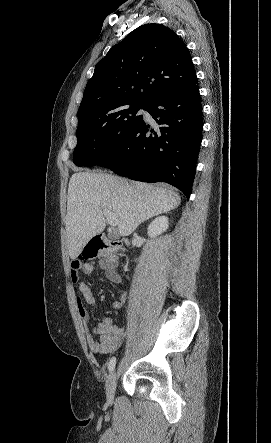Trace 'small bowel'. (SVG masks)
Instances as JSON below:
<instances>
[{
  "instance_id": "1",
  "label": "small bowel",
  "mask_w": 271,
  "mask_h": 443,
  "mask_svg": "<svg viewBox=\"0 0 271 443\" xmlns=\"http://www.w3.org/2000/svg\"><path fill=\"white\" fill-rule=\"evenodd\" d=\"M105 275L111 282L123 286V280L115 269L113 263H102ZM94 269L92 263L82 264L74 259L70 264V278L73 283H79V295L77 296V311L86 328L87 343L94 353L107 354L116 350L122 343L125 335V328L118 325L111 317H105L96 326L89 328L90 316L84 306V302L89 305L96 303L95 297L90 287L85 282H79V271L90 274ZM127 299L126 292H123L117 300L113 302V308L120 309Z\"/></svg>"
}]
</instances>
